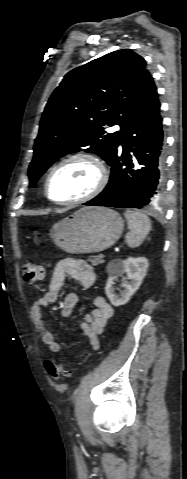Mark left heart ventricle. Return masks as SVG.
I'll return each instance as SVG.
<instances>
[{
	"label": "left heart ventricle",
	"mask_w": 187,
	"mask_h": 479,
	"mask_svg": "<svg viewBox=\"0 0 187 479\" xmlns=\"http://www.w3.org/2000/svg\"><path fill=\"white\" fill-rule=\"evenodd\" d=\"M94 166L85 160H75L62 166L51 178L49 194L52 199L66 201L87 194L96 182Z\"/></svg>",
	"instance_id": "left-heart-ventricle-1"
}]
</instances>
